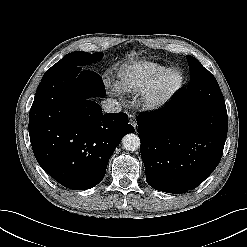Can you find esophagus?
Segmentation results:
<instances>
[{
	"instance_id": "esophagus-1",
	"label": "esophagus",
	"mask_w": 247,
	"mask_h": 247,
	"mask_svg": "<svg viewBox=\"0 0 247 247\" xmlns=\"http://www.w3.org/2000/svg\"><path fill=\"white\" fill-rule=\"evenodd\" d=\"M128 116H129V121H130V124L136 129V116H135V113L133 112H129L128 113Z\"/></svg>"
}]
</instances>
